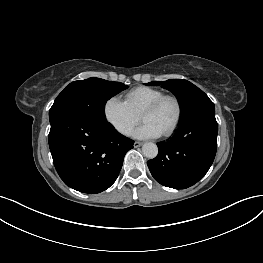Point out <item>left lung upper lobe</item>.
Listing matches in <instances>:
<instances>
[{"label": "left lung upper lobe", "mask_w": 263, "mask_h": 263, "mask_svg": "<svg viewBox=\"0 0 263 263\" xmlns=\"http://www.w3.org/2000/svg\"><path fill=\"white\" fill-rule=\"evenodd\" d=\"M146 85H161L177 97L182 111L180 124L198 116L215 114L213 102L202 90L187 80L170 79L165 82L153 81Z\"/></svg>", "instance_id": "left-lung-upper-lobe-1"}]
</instances>
